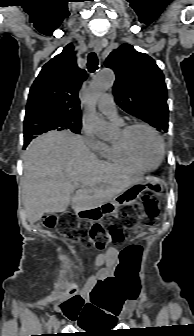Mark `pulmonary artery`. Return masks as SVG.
I'll return each mask as SVG.
<instances>
[{"mask_svg":"<svg viewBox=\"0 0 194 336\" xmlns=\"http://www.w3.org/2000/svg\"><path fill=\"white\" fill-rule=\"evenodd\" d=\"M98 108L101 111V113L106 117L110 118L111 120L117 123H122L121 119L117 114L112 94L110 93L104 94L98 102Z\"/></svg>","mask_w":194,"mask_h":336,"instance_id":"e3ab8cb5","label":"pulmonary artery"}]
</instances>
